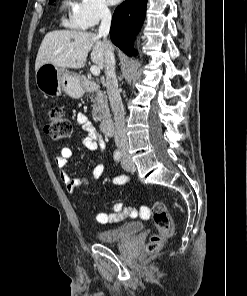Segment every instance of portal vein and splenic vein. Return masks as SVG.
<instances>
[{"mask_svg": "<svg viewBox=\"0 0 247 296\" xmlns=\"http://www.w3.org/2000/svg\"><path fill=\"white\" fill-rule=\"evenodd\" d=\"M90 71L94 76L100 75V68L96 65L91 66Z\"/></svg>", "mask_w": 247, "mask_h": 296, "instance_id": "1", "label": "portal vein and splenic vein"}]
</instances>
